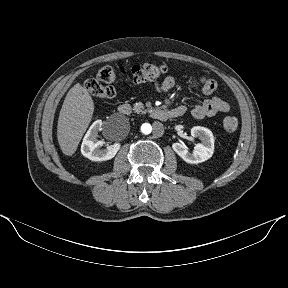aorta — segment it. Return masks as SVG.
Segmentation results:
<instances>
[{
	"mask_svg": "<svg viewBox=\"0 0 288 288\" xmlns=\"http://www.w3.org/2000/svg\"><path fill=\"white\" fill-rule=\"evenodd\" d=\"M141 131L144 134H150L152 132V126L150 124H143L141 127Z\"/></svg>",
	"mask_w": 288,
	"mask_h": 288,
	"instance_id": "aorta-1",
	"label": "aorta"
}]
</instances>
